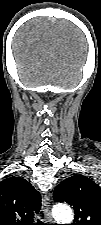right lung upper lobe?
I'll return each mask as SVG.
<instances>
[{"label":"right lung upper lobe","instance_id":"obj_1","mask_svg":"<svg viewBox=\"0 0 101 225\" xmlns=\"http://www.w3.org/2000/svg\"><path fill=\"white\" fill-rule=\"evenodd\" d=\"M40 194L25 179L10 177L0 183V225H34Z\"/></svg>","mask_w":101,"mask_h":225}]
</instances>
